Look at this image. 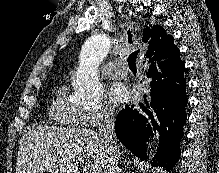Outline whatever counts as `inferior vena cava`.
<instances>
[{"label":"inferior vena cava","instance_id":"obj_1","mask_svg":"<svg viewBox=\"0 0 219 173\" xmlns=\"http://www.w3.org/2000/svg\"><path fill=\"white\" fill-rule=\"evenodd\" d=\"M115 112L110 107H105L99 124V136L104 141L109 152L106 173H119V147L115 136Z\"/></svg>","mask_w":219,"mask_h":173}]
</instances>
